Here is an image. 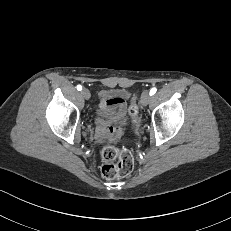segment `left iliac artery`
I'll use <instances>...</instances> for the list:
<instances>
[{
    "label": "left iliac artery",
    "instance_id": "left-iliac-artery-1",
    "mask_svg": "<svg viewBox=\"0 0 231 231\" xmlns=\"http://www.w3.org/2000/svg\"><path fill=\"white\" fill-rule=\"evenodd\" d=\"M156 91H157V89L156 88H152L151 90H150V96H152V95H154L155 93H156Z\"/></svg>",
    "mask_w": 231,
    "mask_h": 231
}]
</instances>
